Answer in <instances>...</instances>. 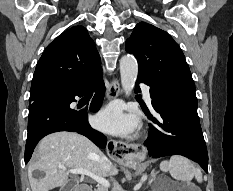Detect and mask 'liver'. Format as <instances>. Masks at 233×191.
I'll return each mask as SVG.
<instances>
[{"label": "liver", "instance_id": "obj_1", "mask_svg": "<svg viewBox=\"0 0 233 191\" xmlns=\"http://www.w3.org/2000/svg\"><path fill=\"white\" fill-rule=\"evenodd\" d=\"M104 156L101 150L88 138L75 132H55L45 136L38 144L37 155L28 165V178L32 191H49L64 187L68 176L60 165L69 169H85L98 176L118 174L116 167L104 171L99 160ZM45 173L41 179L33 177V171Z\"/></svg>", "mask_w": 233, "mask_h": 191}]
</instances>
